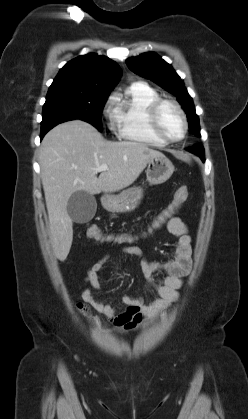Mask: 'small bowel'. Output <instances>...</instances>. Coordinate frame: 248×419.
<instances>
[{"instance_id": "c3829d8e", "label": "small bowel", "mask_w": 248, "mask_h": 419, "mask_svg": "<svg viewBox=\"0 0 248 419\" xmlns=\"http://www.w3.org/2000/svg\"><path fill=\"white\" fill-rule=\"evenodd\" d=\"M167 229L172 235L177 237V242L172 249L171 257L163 262H149L145 258L142 249L134 245H125L120 250L124 255L135 256L141 259V269L157 293V299L152 302H146L142 297L126 295L121 301V305L125 306V309L119 311V306H113L108 302L95 299L89 288H84L82 291L83 299L97 312L110 319L120 331H133L145 328L163 309L177 301L179 297L178 290L182 286V279L191 269V238L188 235L187 226L179 217L172 216L168 218ZM153 230L155 228L151 226L148 232ZM87 237L93 240L88 231ZM106 238V240H112L117 243L131 242L135 239L133 237ZM108 260L109 256H104L95 262L85 277V283L90 284L95 290L101 289L100 276L103 275ZM157 272L163 273V277L155 279L154 274Z\"/></svg>"}]
</instances>
